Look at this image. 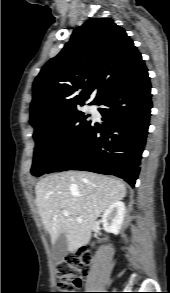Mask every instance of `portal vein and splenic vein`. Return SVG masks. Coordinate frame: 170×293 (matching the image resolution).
I'll list each match as a JSON object with an SVG mask.
<instances>
[{"label":"portal vein and splenic vein","mask_w":170,"mask_h":293,"mask_svg":"<svg viewBox=\"0 0 170 293\" xmlns=\"http://www.w3.org/2000/svg\"><path fill=\"white\" fill-rule=\"evenodd\" d=\"M62 213H63L64 216H68L69 215V212L67 210H63Z\"/></svg>","instance_id":"1"}]
</instances>
